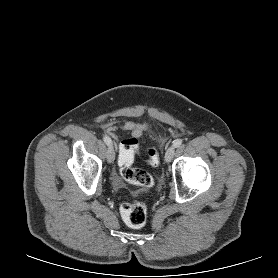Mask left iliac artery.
<instances>
[{"instance_id":"obj_1","label":"left iliac artery","mask_w":278,"mask_h":278,"mask_svg":"<svg viewBox=\"0 0 278 278\" xmlns=\"http://www.w3.org/2000/svg\"><path fill=\"white\" fill-rule=\"evenodd\" d=\"M182 144V139H176L173 141L174 147H179Z\"/></svg>"}]
</instances>
